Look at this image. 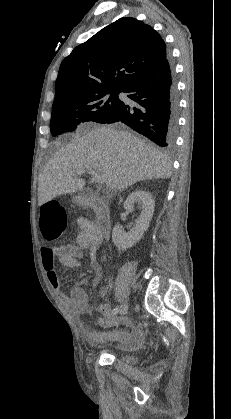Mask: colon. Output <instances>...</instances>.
Returning a JSON list of instances; mask_svg holds the SVG:
<instances>
[{
    "label": "colon",
    "mask_w": 231,
    "mask_h": 419,
    "mask_svg": "<svg viewBox=\"0 0 231 419\" xmlns=\"http://www.w3.org/2000/svg\"><path fill=\"white\" fill-rule=\"evenodd\" d=\"M66 226V213L63 206L48 203L42 210V227L50 239H55Z\"/></svg>",
    "instance_id": "colon-1"
}]
</instances>
